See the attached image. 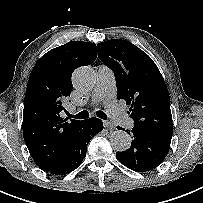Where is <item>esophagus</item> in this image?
<instances>
[{
  "instance_id": "esophagus-1",
  "label": "esophagus",
  "mask_w": 203,
  "mask_h": 203,
  "mask_svg": "<svg viewBox=\"0 0 203 203\" xmlns=\"http://www.w3.org/2000/svg\"><path fill=\"white\" fill-rule=\"evenodd\" d=\"M103 125L105 128H109L110 130H114L115 129V125L110 122V121H103Z\"/></svg>"
}]
</instances>
